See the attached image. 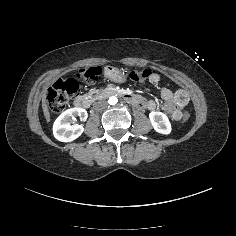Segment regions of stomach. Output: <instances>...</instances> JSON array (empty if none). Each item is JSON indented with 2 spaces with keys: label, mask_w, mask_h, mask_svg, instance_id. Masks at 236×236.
<instances>
[{
  "label": "stomach",
  "mask_w": 236,
  "mask_h": 236,
  "mask_svg": "<svg viewBox=\"0 0 236 236\" xmlns=\"http://www.w3.org/2000/svg\"><path fill=\"white\" fill-rule=\"evenodd\" d=\"M104 75L106 78L116 83H123L126 81V75L118 68L113 66H105Z\"/></svg>",
  "instance_id": "obj_1"
}]
</instances>
